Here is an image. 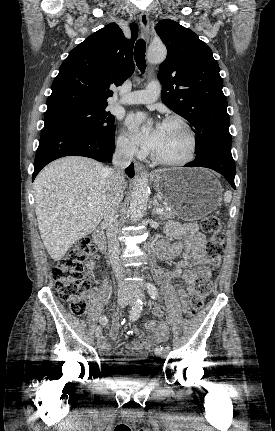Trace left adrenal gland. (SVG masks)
Wrapping results in <instances>:
<instances>
[{
    "label": "left adrenal gland",
    "instance_id": "a2214340",
    "mask_svg": "<svg viewBox=\"0 0 275 431\" xmlns=\"http://www.w3.org/2000/svg\"><path fill=\"white\" fill-rule=\"evenodd\" d=\"M152 205L154 206V208H153V210H152V215H153V216H155V215H156V213H157V210H158V208H159V203H158V201H157V197H156V196H154V199H153Z\"/></svg>",
    "mask_w": 275,
    "mask_h": 431
}]
</instances>
